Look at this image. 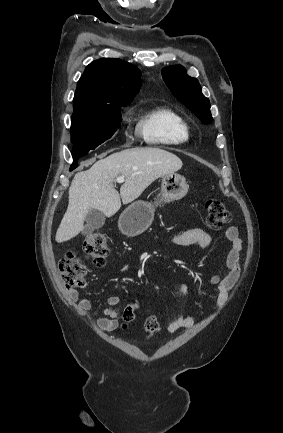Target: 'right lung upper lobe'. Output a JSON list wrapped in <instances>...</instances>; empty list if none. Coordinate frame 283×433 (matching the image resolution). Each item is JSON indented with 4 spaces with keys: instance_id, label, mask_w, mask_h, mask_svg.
Masks as SVG:
<instances>
[{
    "instance_id": "cb5924a9",
    "label": "right lung upper lobe",
    "mask_w": 283,
    "mask_h": 433,
    "mask_svg": "<svg viewBox=\"0 0 283 433\" xmlns=\"http://www.w3.org/2000/svg\"><path fill=\"white\" fill-rule=\"evenodd\" d=\"M140 70L116 58H101L90 63L78 81L74 110L127 105L138 93Z\"/></svg>"
}]
</instances>
